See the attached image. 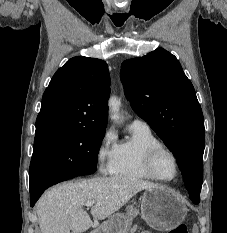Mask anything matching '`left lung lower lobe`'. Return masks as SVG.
I'll return each mask as SVG.
<instances>
[{"mask_svg":"<svg viewBox=\"0 0 227 233\" xmlns=\"http://www.w3.org/2000/svg\"><path fill=\"white\" fill-rule=\"evenodd\" d=\"M195 204H198L199 202L198 201H193Z\"/></svg>","mask_w":227,"mask_h":233,"instance_id":"obj_1","label":"left lung lower lobe"}]
</instances>
